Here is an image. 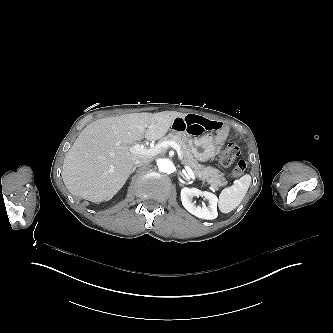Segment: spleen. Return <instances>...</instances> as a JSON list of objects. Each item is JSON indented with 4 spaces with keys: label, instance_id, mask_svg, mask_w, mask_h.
Wrapping results in <instances>:
<instances>
[{
    "label": "spleen",
    "instance_id": "spleen-1",
    "mask_svg": "<svg viewBox=\"0 0 333 333\" xmlns=\"http://www.w3.org/2000/svg\"><path fill=\"white\" fill-rule=\"evenodd\" d=\"M251 184V176L245 174L231 187L223 189L218 198V208L222 213H229L239 206Z\"/></svg>",
    "mask_w": 333,
    "mask_h": 333
}]
</instances>
